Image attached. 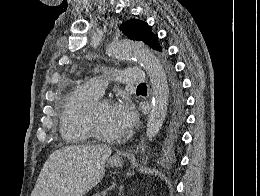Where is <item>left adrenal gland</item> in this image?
Wrapping results in <instances>:
<instances>
[{
	"label": "left adrenal gland",
	"mask_w": 260,
	"mask_h": 196,
	"mask_svg": "<svg viewBox=\"0 0 260 196\" xmlns=\"http://www.w3.org/2000/svg\"><path fill=\"white\" fill-rule=\"evenodd\" d=\"M122 190H123V188H120V190H119V196H122Z\"/></svg>",
	"instance_id": "left-adrenal-gland-1"
}]
</instances>
